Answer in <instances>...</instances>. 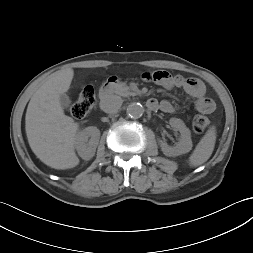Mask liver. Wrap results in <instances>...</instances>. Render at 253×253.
<instances>
[{
    "mask_svg": "<svg viewBox=\"0 0 253 253\" xmlns=\"http://www.w3.org/2000/svg\"><path fill=\"white\" fill-rule=\"evenodd\" d=\"M74 71H57L36 90L25 116V130L33 153L47 166L64 170L79 164L75 140L79 124L66 116L59 96L70 88Z\"/></svg>",
    "mask_w": 253,
    "mask_h": 253,
    "instance_id": "6515ba94",
    "label": "liver"
}]
</instances>
